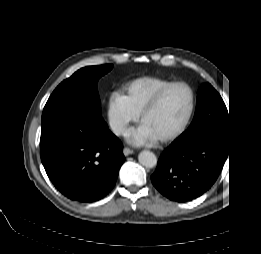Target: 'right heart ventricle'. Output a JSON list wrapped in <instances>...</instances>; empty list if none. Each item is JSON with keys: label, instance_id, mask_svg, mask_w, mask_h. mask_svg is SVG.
<instances>
[{"label": "right heart ventricle", "instance_id": "1", "mask_svg": "<svg viewBox=\"0 0 261 254\" xmlns=\"http://www.w3.org/2000/svg\"><path fill=\"white\" fill-rule=\"evenodd\" d=\"M169 84V81L151 77L132 82L127 89V97L132 108L140 114L142 109Z\"/></svg>", "mask_w": 261, "mask_h": 254}]
</instances>
